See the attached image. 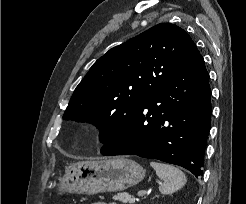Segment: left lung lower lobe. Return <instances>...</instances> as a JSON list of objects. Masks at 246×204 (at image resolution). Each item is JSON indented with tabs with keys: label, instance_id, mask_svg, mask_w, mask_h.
Listing matches in <instances>:
<instances>
[{
	"label": "left lung lower lobe",
	"instance_id": "obj_1",
	"mask_svg": "<svg viewBox=\"0 0 246 204\" xmlns=\"http://www.w3.org/2000/svg\"><path fill=\"white\" fill-rule=\"evenodd\" d=\"M211 90L204 59L192 57L149 97L104 144L102 155H138L201 177L211 127Z\"/></svg>",
	"mask_w": 246,
	"mask_h": 204
}]
</instances>
